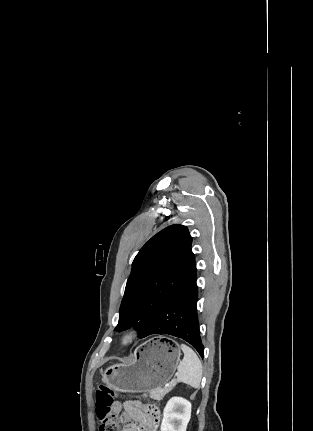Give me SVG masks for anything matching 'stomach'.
<instances>
[{
	"instance_id": "1",
	"label": "stomach",
	"mask_w": 313,
	"mask_h": 431,
	"mask_svg": "<svg viewBox=\"0 0 313 431\" xmlns=\"http://www.w3.org/2000/svg\"><path fill=\"white\" fill-rule=\"evenodd\" d=\"M180 356V346L175 341L155 337L138 346L130 361L108 367L102 381L113 390L125 393L159 389L172 378Z\"/></svg>"
}]
</instances>
